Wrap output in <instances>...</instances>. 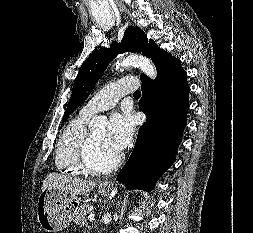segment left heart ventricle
<instances>
[{
    "mask_svg": "<svg viewBox=\"0 0 253 233\" xmlns=\"http://www.w3.org/2000/svg\"><path fill=\"white\" fill-rule=\"evenodd\" d=\"M91 134L93 138V149L91 157L95 164L103 165L118 155L117 152L108 148L104 143V129L94 131Z\"/></svg>",
    "mask_w": 253,
    "mask_h": 233,
    "instance_id": "left-heart-ventricle-1",
    "label": "left heart ventricle"
}]
</instances>
